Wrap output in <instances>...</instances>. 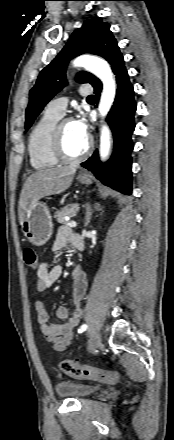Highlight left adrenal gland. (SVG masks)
<instances>
[{
  "instance_id": "obj_1",
  "label": "left adrenal gland",
  "mask_w": 174,
  "mask_h": 440,
  "mask_svg": "<svg viewBox=\"0 0 174 440\" xmlns=\"http://www.w3.org/2000/svg\"><path fill=\"white\" fill-rule=\"evenodd\" d=\"M91 216H92V212L90 207H88L85 217V226H87L90 223Z\"/></svg>"
}]
</instances>
